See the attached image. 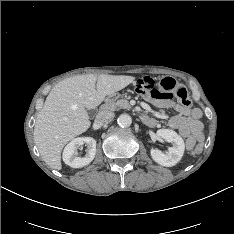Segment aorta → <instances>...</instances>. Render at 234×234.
<instances>
[{
  "label": "aorta",
  "instance_id": "762f6f07",
  "mask_svg": "<svg viewBox=\"0 0 234 234\" xmlns=\"http://www.w3.org/2000/svg\"><path fill=\"white\" fill-rule=\"evenodd\" d=\"M118 125L122 128H127L129 127L131 124H132V118L130 115L128 114H121L119 117H118Z\"/></svg>",
  "mask_w": 234,
  "mask_h": 234
}]
</instances>
